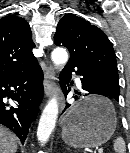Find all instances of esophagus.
<instances>
[{"instance_id": "obj_1", "label": "esophagus", "mask_w": 130, "mask_h": 153, "mask_svg": "<svg viewBox=\"0 0 130 153\" xmlns=\"http://www.w3.org/2000/svg\"><path fill=\"white\" fill-rule=\"evenodd\" d=\"M56 76H55V71L54 69L49 66L46 69L45 76H44V90H45V95L47 97H50L54 91H56ZM59 104L60 108L63 109L64 103H63V98L60 96L59 97Z\"/></svg>"}]
</instances>
